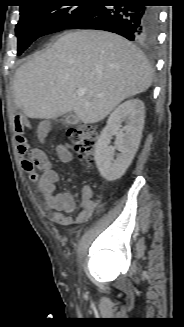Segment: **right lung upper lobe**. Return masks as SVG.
<instances>
[{
  "mask_svg": "<svg viewBox=\"0 0 184 327\" xmlns=\"http://www.w3.org/2000/svg\"><path fill=\"white\" fill-rule=\"evenodd\" d=\"M41 1H43V0H21L23 5H21L20 10H22L23 8H25V7L29 6V5H32V4L41 2Z\"/></svg>",
  "mask_w": 184,
  "mask_h": 327,
  "instance_id": "right-lung-upper-lobe-1",
  "label": "right lung upper lobe"
}]
</instances>
